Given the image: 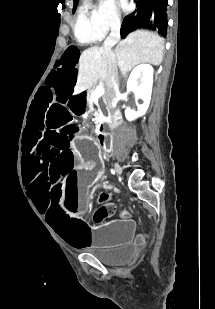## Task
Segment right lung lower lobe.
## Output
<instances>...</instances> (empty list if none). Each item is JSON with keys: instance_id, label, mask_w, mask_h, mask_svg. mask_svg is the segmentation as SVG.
Segmentation results:
<instances>
[{"instance_id": "98d812e1", "label": "right lung lower lobe", "mask_w": 215, "mask_h": 309, "mask_svg": "<svg viewBox=\"0 0 215 309\" xmlns=\"http://www.w3.org/2000/svg\"><path fill=\"white\" fill-rule=\"evenodd\" d=\"M136 1V0H135ZM168 0H138L137 11L125 17L121 36L125 37L129 32L137 28L156 30L159 34H167V6Z\"/></svg>"}]
</instances>
